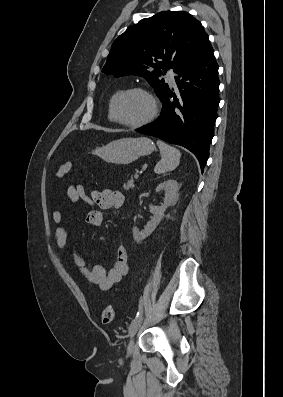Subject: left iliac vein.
I'll return each instance as SVG.
<instances>
[{
	"mask_svg": "<svg viewBox=\"0 0 283 397\" xmlns=\"http://www.w3.org/2000/svg\"><path fill=\"white\" fill-rule=\"evenodd\" d=\"M143 321V314L141 313L137 318H135L129 327V342L127 345V354L130 355L133 351V337L139 329Z\"/></svg>",
	"mask_w": 283,
	"mask_h": 397,
	"instance_id": "1",
	"label": "left iliac vein"
}]
</instances>
